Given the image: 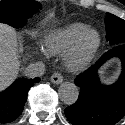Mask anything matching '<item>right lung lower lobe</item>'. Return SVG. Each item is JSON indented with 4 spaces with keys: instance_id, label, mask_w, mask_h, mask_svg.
<instances>
[{
    "instance_id": "98d812e1",
    "label": "right lung lower lobe",
    "mask_w": 125,
    "mask_h": 125,
    "mask_svg": "<svg viewBox=\"0 0 125 125\" xmlns=\"http://www.w3.org/2000/svg\"><path fill=\"white\" fill-rule=\"evenodd\" d=\"M40 78L17 79L11 86L0 92V123H9L21 115L29 89Z\"/></svg>"
}]
</instances>
